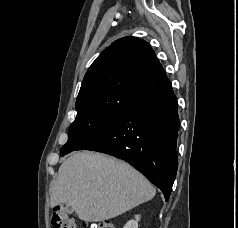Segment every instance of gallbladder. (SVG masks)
Listing matches in <instances>:
<instances>
[{
  "mask_svg": "<svg viewBox=\"0 0 238 228\" xmlns=\"http://www.w3.org/2000/svg\"><path fill=\"white\" fill-rule=\"evenodd\" d=\"M66 211H67L68 213H72V212H73V209H72L71 207H67V208H66Z\"/></svg>",
  "mask_w": 238,
  "mask_h": 228,
  "instance_id": "obj_1",
  "label": "gallbladder"
}]
</instances>
